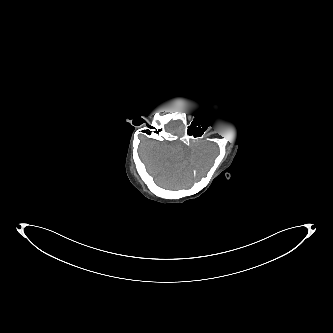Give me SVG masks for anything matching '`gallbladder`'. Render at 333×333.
Wrapping results in <instances>:
<instances>
[{"mask_svg":"<svg viewBox=\"0 0 333 333\" xmlns=\"http://www.w3.org/2000/svg\"><path fill=\"white\" fill-rule=\"evenodd\" d=\"M187 105H189V100L187 101Z\"/></svg>","mask_w":333,"mask_h":333,"instance_id":"1","label":"gallbladder"}]
</instances>
